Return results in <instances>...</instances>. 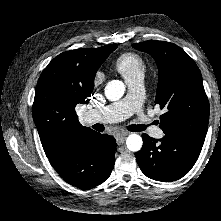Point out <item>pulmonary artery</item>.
I'll list each match as a JSON object with an SVG mask.
<instances>
[{
    "label": "pulmonary artery",
    "instance_id": "pulmonary-artery-1",
    "mask_svg": "<svg viewBox=\"0 0 221 221\" xmlns=\"http://www.w3.org/2000/svg\"><path fill=\"white\" fill-rule=\"evenodd\" d=\"M128 85L129 92L123 99L86 112L83 116L85 123H112L135 115L133 120L137 127L144 131L149 130L153 138H161L163 136L162 129L154 128L147 116L137 114L138 101L142 93V78H137L129 82Z\"/></svg>",
    "mask_w": 221,
    "mask_h": 221
}]
</instances>
